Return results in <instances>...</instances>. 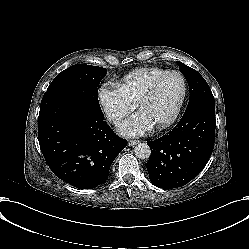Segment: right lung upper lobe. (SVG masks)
Here are the masks:
<instances>
[{"instance_id":"right-lung-upper-lobe-1","label":"right lung upper lobe","mask_w":249,"mask_h":249,"mask_svg":"<svg viewBox=\"0 0 249 249\" xmlns=\"http://www.w3.org/2000/svg\"><path fill=\"white\" fill-rule=\"evenodd\" d=\"M93 67H96V68H100V69H104V70H106L105 68H102V67H97V66H93Z\"/></svg>"}]
</instances>
